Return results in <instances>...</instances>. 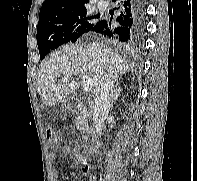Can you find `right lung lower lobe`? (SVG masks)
<instances>
[{
    "instance_id": "right-lung-lower-lobe-1",
    "label": "right lung lower lobe",
    "mask_w": 197,
    "mask_h": 181,
    "mask_svg": "<svg viewBox=\"0 0 197 181\" xmlns=\"http://www.w3.org/2000/svg\"><path fill=\"white\" fill-rule=\"evenodd\" d=\"M117 3L119 14L116 24L111 20L98 21L91 31L99 32L124 44L131 43L140 33L146 12L145 0H112Z\"/></svg>"
}]
</instances>
